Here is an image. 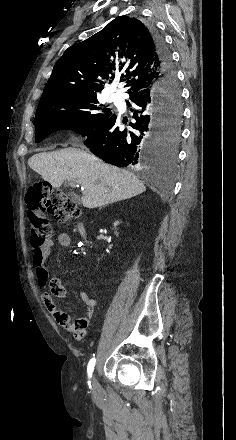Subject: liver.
<instances>
[{"mask_svg": "<svg viewBox=\"0 0 236 440\" xmlns=\"http://www.w3.org/2000/svg\"><path fill=\"white\" fill-rule=\"evenodd\" d=\"M28 165L53 187H60L66 180L80 184L81 201L86 208L129 199L146 190L134 174L78 148L37 153L28 160Z\"/></svg>", "mask_w": 236, "mask_h": 440, "instance_id": "obj_1", "label": "liver"}]
</instances>
